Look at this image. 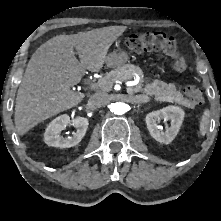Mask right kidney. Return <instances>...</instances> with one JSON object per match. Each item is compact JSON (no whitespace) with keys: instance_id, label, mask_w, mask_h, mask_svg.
<instances>
[{"instance_id":"obj_1","label":"right kidney","mask_w":221,"mask_h":221,"mask_svg":"<svg viewBox=\"0 0 221 221\" xmlns=\"http://www.w3.org/2000/svg\"><path fill=\"white\" fill-rule=\"evenodd\" d=\"M68 125L74 126L77 128V131L73 136L64 138L60 136V132ZM88 125L89 122L87 118L76 117L70 120V117L67 114L60 115L47 126L44 134V141L48 146L59 148L76 146L85 136Z\"/></svg>"}]
</instances>
